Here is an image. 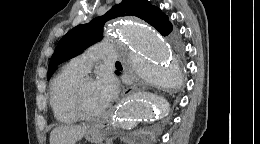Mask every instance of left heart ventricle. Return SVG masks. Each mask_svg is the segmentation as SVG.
Segmentation results:
<instances>
[{"label":"left heart ventricle","instance_id":"obj_1","mask_svg":"<svg viewBox=\"0 0 260 144\" xmlns=\"http://www.w3.org/2000/svg\"><path fill=\"white\" fill-rule=\"evenodd\" d=\"M82 104L88 113H97L105 108L96 82L85 85L82 93Z\"/></svg>","mask_w":260,"mask_h":144}]
</instances>
